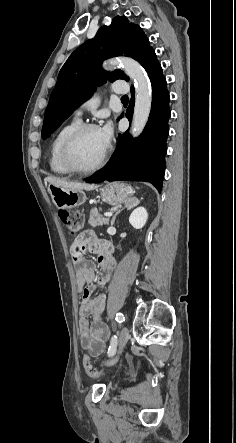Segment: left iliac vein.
<instances>
[{
    "label": "left iliac vein",
    "mask_w": 236,
    "mask_h": 443,
    "mask_svg": "<svg viewBox=\"0 0 236 443\" xmlns=\"http://www.w3.org/2000/svg\"><path fill=\"white\" fill-rule=\"evenodd\" d=\"M129 339V331L126 327L122 329L119 335V353L122 351V349L125 347L127 341ZM118 357L113 359L110 364H114L117 361Z\"/></svg>",
    "instance_id": "1"
}]
</instances>
